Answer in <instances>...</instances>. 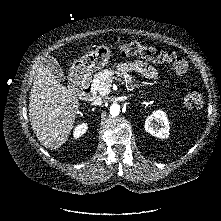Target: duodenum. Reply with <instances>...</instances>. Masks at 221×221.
Segmentation results:
<instances>
[{
    "instance_id": "1",
    "label": "duodenum",
    "mask_w": 221,
    "mask_h": 221,
    "mask_svg": "<svg viewBox=\"0 0 221 221\" xmlns=\"http://www.w3.org/2000/svg\"><path fill=\"white\" fill-rule=\"evenodd\" d=\"M80 94L86 101H92L95 99V91L89 81L83 83Z\"/></svg>"
}]
</instances>
